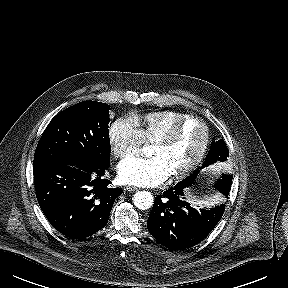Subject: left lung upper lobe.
<instances>
[{"instance_id":"1","label":"left lung upper lobe","mask_w":288,"mask_h":288,"mask_svg":"<svg viewBox=\"0 0 288 288\" xmlns=\"http://www.w3.org/2000/svg\"><path fill=\"white\" fill-rule=\"evenodd\" d=\"M228 157V148L223 140L213 141L209 153L205 159V162L202 165V168L216 163L217 161L224 162ZM200 171H196L184 180L181 183H187L189 185L193 184L196 180V177ZM232 176L223 175L222 179H219L215 183V187L224 193H229L231 189Z\"/></svg>"}]
</instances>
